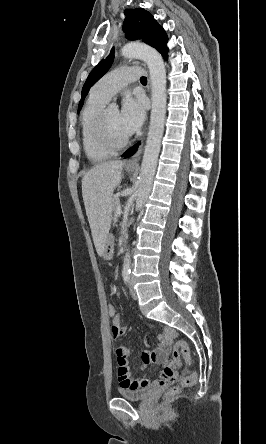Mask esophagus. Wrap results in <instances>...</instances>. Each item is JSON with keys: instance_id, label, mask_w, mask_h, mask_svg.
<instances>
[{"instance_id": "1", "label": "esophagus", "mask_w": 266, "mask_h": 444, "mask_svg": "<svg viewBox=\"0 0 266 444\" xmlns=\"http://www.w3.org/2000/svg\"><path fill=\"white\" fill-rule=\"evenodd\" d=\"M143 150V144L140 145L138 151L132 156L131 159H129L126 163L127 167H138L139 166V160L142 154Z\"/></svg>"}]
</instances>
